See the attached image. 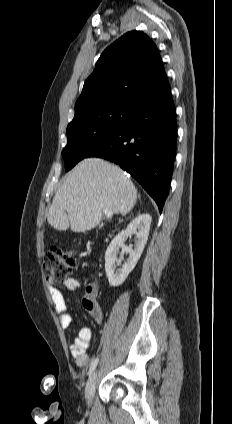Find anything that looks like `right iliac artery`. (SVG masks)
I'll return each mask as SVG.
<instances>
[{"mask_svg": "<svg viewBox=\"0 0 232 424\" xmlns=\"http://www.w3.org/2000/svg\"><path fill=\"white\" fill-rule=\"evenodd\" d=\"M98 361H99V358L97 357V358H95L93 361H92V363H91V366H90V369H89V372H88V375L90 376L91 374H92V372L95 370V368H96V366H97V364H98Z\"/></svg>", "mask_w": 232, "mask_h": 424, "instance_id": "1", "label": "right iliac artery"}]
</instances>
